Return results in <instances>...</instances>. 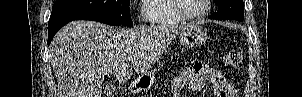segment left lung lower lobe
<instances>
[{
  "label": "left lung lower lobe",
  "mask_w": 302,
  "mask_h": 97,
  "mask_svg": "<svg viewBox=\"0 0 302 97\" xmlns=\"http://www.w3.org/2000/svg\"><path fill=\"white\" fill-rule=\"evenodd\" d=\"M209 18H210V19H215V18H213V16H212V15H211V16H209Z\"/></svg>",
  "instance_id": "obj_1"
}]
</instances>
